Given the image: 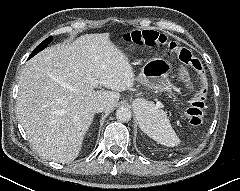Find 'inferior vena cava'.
Returning <instances> with one entry per match:
<instances>
[{"label":"inferior vena cava","instance_id":"1","mask_svg":"<svg viewBox=\"0 0 240 191\" xmlns=\"http://www.w3.org/2000/svg\"><path fill=\"white\" fill-rule=\"evenodd\" d=\"M107 108H108V107H107V105H106L105 103H96V104L93 106V110H94V112H96V113L106 111Z\"/></svg>","mask_w":240,"mask_h":191}]
</instances>
